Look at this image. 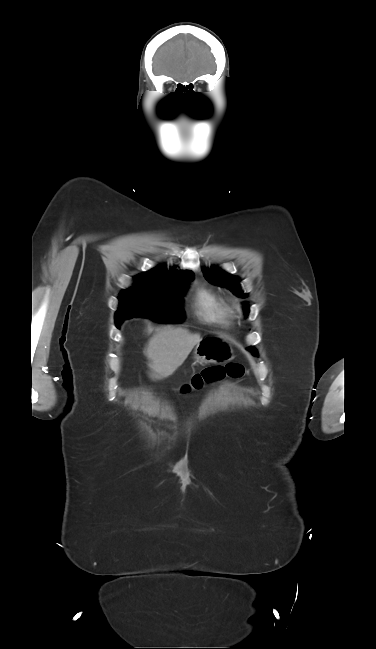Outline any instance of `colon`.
Segmentation results:
<instances>
[{
    "label": "colon",
    "instance_id": "1",
    "mask_svg": "<svg viewBox=\"0 0 376 649\" xmlns=\"http://www.w3.org/2000/svg\"><path fill=\"white\" fill-rule=\"evenodd\" d=\"M245 374V368L240 363H229L225 366L206 367L195 373L189 381L184 383L179 388V392L181 394H189L225 378L242 379Z\"/></svg>",
    "mask_w": 376,
    "mask_h": 649
}]
</instances>
